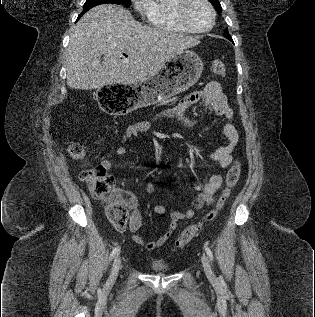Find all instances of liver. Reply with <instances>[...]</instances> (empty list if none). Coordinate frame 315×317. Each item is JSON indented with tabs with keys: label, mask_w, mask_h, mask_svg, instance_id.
<instances>
[{
	"label": "liver",
	"mask_w": 315,
	"mask_h": 317,
	"mask_svg": "<svg viewBox=\"0 0 315 317\" xmlns=\"http://www.w3.org/2000/svg\"><path fill=\"white\" fill-rule=\"evenodd\" d=\"M199 43L198 37L144 26L120 6L100 5L73 28L66 59L67 85L88 90L134 84L154 77L166 61Z\"/></svg>",
	"instance_id": "obj_1"
}]
</instances>
